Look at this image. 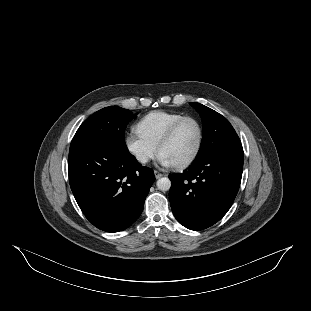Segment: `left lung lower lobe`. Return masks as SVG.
<instances>
[{"mask_svg":"<svg viewBox=\"0 0 311 311\" xmlns=\"http://www.w3.org/2000/svg\"><path fill=\"white\" fill-rule=\"evenodd\" d=\"M243 148L222 149L195 161L184 173L169 175V199L175 218L190 230H202L219 221L239 190Z\"/></svg>","mask_w":311,"mask_h":311,"instance_id":"1","label":"left lung lower lobe"}]
</instances>
